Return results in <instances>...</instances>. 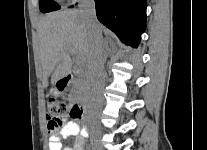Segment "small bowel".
<instances>
[{
    "label": "small bowel",
    "mask_w": 207,
    "mask_h": 150,
    "mask_svg": "<svg viewBox=\"0 0 207 150\" xmlns=\"http://www.w3.org/2000/svg\"><path fill=\"white\" fill-rule=\"evenodd\" d=\"M75 137L72 146H64V141ZM88 132L74 121L61 125L59 132L51 133L49 137V150H84Z\"/></svg>",
    "instance_id": "obj_1"
}]
</instances>
